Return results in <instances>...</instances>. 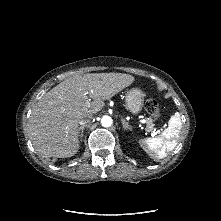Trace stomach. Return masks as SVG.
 <instances>
[{
	"label": "stomach",
	"instance_id": "stomach-1",
	"mask_svg": "<svg viewBox=\"0 0 221 221\" xmlns=\"http://www.w3.org/2000/svg\"><path fill=\"white\" fill-rule=\"evenodd\" d=\"M126 108L132 114H138L144 104V93L139 88H132L127 91L125 98Z\"/></svg>",
	"mask_w": 221,
	"mask_h": 221
}]
</instances>
